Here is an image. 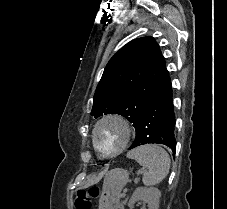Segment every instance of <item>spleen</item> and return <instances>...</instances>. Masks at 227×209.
Returning <instances> with one entry per match:
<instances>
[{
    "label": "spleen",
    "instance_id": "3e777b00",
    "mask_svg": "<svg viewBox=\"0 0 227 209\" xmlns=\"http://www.w3.org/2000/svg\"><path fill=\"white\" fill-rule=\"evenodd\" d=\"M128 159H135L144 171L143 183L146 187L158 185L167 177L170 169L168 153L158 145H141L127 153Z\"/></svg>",
    "mask_w": 227,
    "mask_h": 209
}]
</instances>
